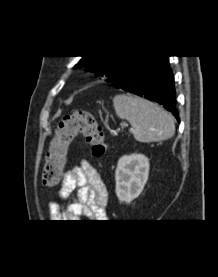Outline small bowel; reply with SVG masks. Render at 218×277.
<instances>
[{"mask_svg":"<svg viewBox=\"0 0 218 277\" xmlns=\"http://www.w3.org/2000/svg\"><path fill=\"white\" fill-rule=\"evenodd\" d=\"M76 190V198L66 205L51 201L49 211L53 220H75L85 216L103 220L108 191L95 167L87 160L67 171L63 177L59 198L66 199Z\"/></svg>","mask_w":218,"mask_h":277,"instance_id":"small-bowel-1","label":"small bowel"}]
</instances>
